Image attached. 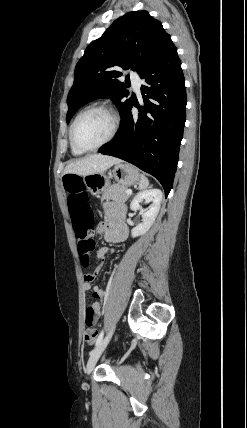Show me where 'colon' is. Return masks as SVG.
Segmentation results:
<instances>
[{
	"mask_svg": "<svg viewBox=\"0 0 247 428\" xmlns=\"http://www.w3.org/2000/svg\"><path fill=\"white\" fill-rule=\"evenodd\" d=\"M63 185L67 194V212L72 217L75 235L78 239V252L83 267L90 263V253L95 242L92 239L94 218L87 203V195L82 178L76 175H66ZM86 306L84 341L92 344L97 336V326L102 318V306L96 298H89Z\"/></svg>",
	"mask_w": 247,
	"mask_h": 428,
	"instance_id": "obj_1",
	"label": "colon"
}]
</instances>
